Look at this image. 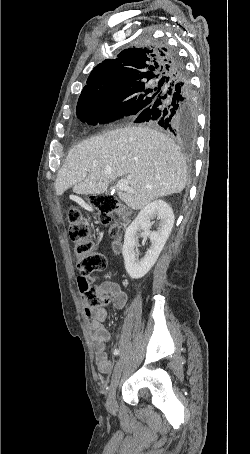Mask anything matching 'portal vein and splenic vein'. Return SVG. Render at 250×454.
<instances>
[{
	"label": "portal vein and splenic vein",
	"mask_w": 250,
	"mask_h": 454,
	"mask_svg": "<svg viewBox=\"0 0 250 454\" xmlns=\"http://www.w3.org/2000/svg\"><path fill=\"white\" fill-rule=\"evenodd\" d=\"M83 176L86 177V174H84ZM128 179L129 177H127V179H121L120 181H118L116 185L117 189L120 191L133 192V190L128 186Z\"/></svg>",
	"instance_id": "1"
}]
</instances>
